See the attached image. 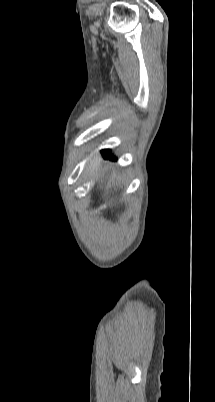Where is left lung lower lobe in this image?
<instances>
[{"label": "left lung lower lobe", "instance_id": "left-lung-lower-lobe-1", "mask_svg": "<svg viewBox=\"0 0 215 402\" xmlns=\"http://www.w3.org/2000/svg\"><path fill=\"white\" fill-rule=\"evenodd\" d=\"M103 153V157L106 159H110V160H116V158L114 156L110 155V150L106 149L102 151Z\"/></svg>", "mask_w": 215, "mask_h": 402}]
</instances>
